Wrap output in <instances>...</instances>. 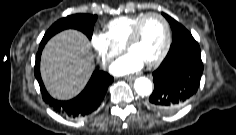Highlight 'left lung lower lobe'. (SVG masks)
I'll return each mask as SVG.
<instances>
[{"label":"left lung lower lobe","instance_id":"1","mask_svg":"<svg viewBox=\"0 0 236 135\" xmlns=\"http://www.w3.org/2000/svg\"><path fill=\"white\" fill-rule=\"evenodd\" d=\"M169 23L173 41L167 56L153 72L154 91L148 103L162 114L176 111L196 94L203 72L198 43L180 23Z\"/></svg>","mask_w":236,"mask_h":135}]
</instances>
